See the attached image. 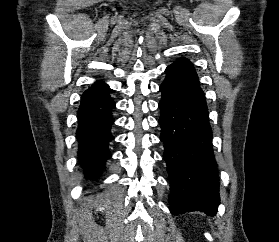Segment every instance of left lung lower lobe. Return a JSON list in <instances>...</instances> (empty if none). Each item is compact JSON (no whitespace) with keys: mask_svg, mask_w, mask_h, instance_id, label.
I'll use <instances>...</instances> for the list:
<instances>
[{"mask_svg":"<svg viewBox=\"0 0 279 242\" xmlns=\"http://www.w3.org/2000/svg\"><path fill=\"white\" fill-rule=\"evenodd\" d=\"M160 85V140L170 181V212L215 215L220 203L207 105L191 62L178 59Z\"/></svg>","mask_w":279,"mask_h":242,"instance_id":"left-lung-lower-lobe-1","label":"left lung lower lobe"}]
</instances>
